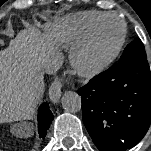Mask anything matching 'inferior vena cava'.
<instances>
[{
	"mask_svg": "<svg viewBox=\"0 0 151 151\" xmlns=\"http://www.w3.org/2000/svg\"><path fill=\"white\" fill-rule=\"evenodd\" d=\"M44 69L47 73L56 72L61 66V60L58 56H52L43 61Z\"/></svg>",
	"mask_w": 151,
	"mask_h": 151,
	"instance_id": "obj_1",
	"label": "inferior vena cava"
}]
</instances>
